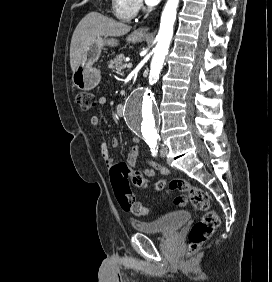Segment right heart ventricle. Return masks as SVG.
<instances>
[{"instance_id": "e07e8e85", "label": "right heart ventricle", "mask_w": 272, "mask_h": 282, "mask_svg": "<svg viewBox=\"0 0 272 282\" xmlns=\"http://www.w3.org/2000/svg\"><path fill=\"white\" fill-rule=\"evenodd\" d=\"M112 2H113V12L119 19L125 21L131 19L132 15L127 12L128 0H112Z\"/></svg>"}]
</instances>
